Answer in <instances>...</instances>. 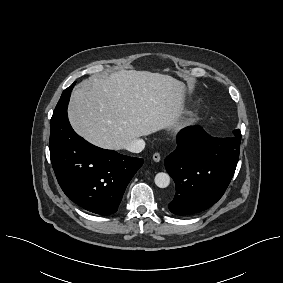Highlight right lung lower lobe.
Returning a JSON list of instances; mask_svg holds the SVG:
<instances>
[{"mask_svg": "<svg viewBox=\"0 0 283 283\" xmlns=\"http://www.w3.org/2000/svg\"><path fill=\"white\" fill-rule=\"evenodd\" d=\"M75 82L65 89L50 123V157L58 183L77 205L100 215L115 213L143 159L98 148L72 129L67 106Z\"/></svg>", "mask_w": 283, "mask_h": 283, "instance_id": "98d812e1", "label": "right lung lower lobe"}]
</instances>
